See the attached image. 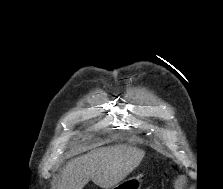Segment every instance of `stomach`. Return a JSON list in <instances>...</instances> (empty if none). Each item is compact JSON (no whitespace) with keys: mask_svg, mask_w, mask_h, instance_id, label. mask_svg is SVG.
I'll list each match as a JSON object with an SVG mask.
<instances>
[{"mask_svg":"<svg viewBox=\"0 0 223 189\" xmlns=\"http://www.w3.org/2000/svg\"><path fill=\"white\" fill-rule=\"evenodd\" d=\"M142 179L141 176H134L125 180H122L112 189H141Z\"/></svg>","mask_w":223,"mask_h":189,"instance_id":"0dacf381","label":"stomach"}]
</instances>
